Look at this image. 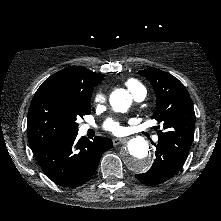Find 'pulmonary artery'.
I'll use <instances>...</instances> for the list:
<instances>
[{"instance_id": "pulmonary-artery-1", "label": "pulmonary artery", "mask_w": 221, "mask_h": 221, "mask_svg": "<svg viewBox=\"0 0 221 221\" xmlns=\"http://www.w3.org/2000/svg\"><path fill=\"white\" fill-rule=\"evenodd\" d=\"M132 95L136 102H142L146 97V89L144 87H139L132 92ZM89 128L90 126L87 124L83 125L82 127L84 131L88 130ZM154 140L157 141L158 137L155 136Z\"/></svg>"}]
</instances>
